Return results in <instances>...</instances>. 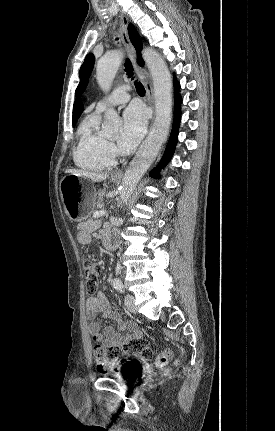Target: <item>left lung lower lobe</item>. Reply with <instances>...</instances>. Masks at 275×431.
<instances>
[{
	"mask_svg": "<svg viewBox=\"0 0 275 431\" xmlns=\"http://www.w3.org/2000/svg\"><path fill=\"white\" fill-rule=\"evenodd\" d=\"M174 88H175V112H174V124L171 132V136L167 145V148L165 150L164 156L158 165L157 168L151 171L150 175L154 178H157L159 175V169L162 168L164 165L168 163V161L171 159L172 154L174 153V149L177 143V135H178V129L180 124V104L182 102L179 89L180 85L179 82L174 78Z\"/></svg>",
	"mask_w": 275,
	"mask_h": 431,
	"instance_id": "obj_1",
	"label": "left lung lower lobe"
}]
</instances>
